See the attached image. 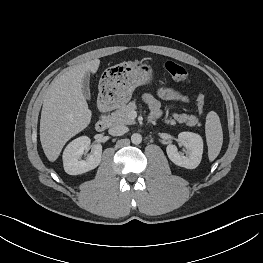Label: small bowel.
I'll use <instances>...</instances> for the list:
<instances>
[{
    "instance_id": "c3829d8e",
    "label": "small bowel",
    "mask_w": 263,
    "mask_h": 263,
    "mask_svg": "<svg viewBox=\"0 0 263 263\" xmlns=\"http://www.w3.org/2000/svg\"><path fill=\"white\" fill-rule=\"evenodd\" d=\"M160 97L167 101H179L181 103L187 102V97L183 95H178L171 89H163L160 92ZM144 101L149 105L151 109V117L152 119H157L161 116L162 110H161V104L158 99L153 97L150 94H145L143 96Z\"/></svg>"
}]
</instances>
